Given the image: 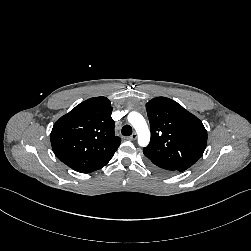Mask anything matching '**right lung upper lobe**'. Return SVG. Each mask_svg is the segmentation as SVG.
<instances>
[{"label":"right lung upper lobe","mask_w":251,"mask_h":251,"mask_svg":"<svg viewBox=\"0 0 251 251\" xmlns=\"http://www.w3.org/2000/svg\"><path fill=\"white\" fill-rule=\"evenodd\" d=\"M111 113V103L106 97H94L62 116L50 136L55 155L77 172L101 169L121 142L114 135Z\"/></svg>","instance_id":"cb5924a9"}]
</instances>
